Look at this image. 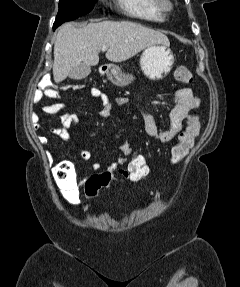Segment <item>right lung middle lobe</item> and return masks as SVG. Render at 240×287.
I'll return each instance as SVG.
<instances>
[{
    "label": "right lung middle lobe",
    "mask_w": 240,
    "mask_h": 287,
    "mask_svg": "<svg viewBox=\"0 0 240 287\" xmlns=\"http://www.w3.org/2000/svg\"><path fill=\"white\" fill-rule=\"evenodd\" d=\"M98 0H60L59 11L53 25L55 30L65 21H71L89 13Z\"/></svg>",
    "instance_id": "dd1d6c3e"
}]
</instances>
